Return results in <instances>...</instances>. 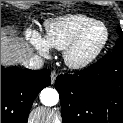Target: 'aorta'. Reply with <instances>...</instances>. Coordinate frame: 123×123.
<instances>
[{
    "mask_svg": "<svg viewBox=\"0 0 123 123\" xmlns=\"http://www.w3.org/2000/svg\"><path fill=\"white\" fill-rule=\"evenodd\" d=\"M41 103L45 106H54L59 101V94L53 88H44L40 93Z\"/></svg>",
    "mask_w": 123,
    "mask_h": 123,
    "instance_id": "aorta-1",
    "label": "aorta"
}]
</instances>
